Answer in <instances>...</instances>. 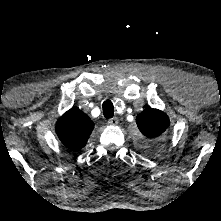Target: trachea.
Instances as JSON below:
<instances>
[{
    "label": "trachea",
    "instance_id": "1",
    "mask_svg": "<svg viewBox=\"0 0 221 221\" xmlns=\"http://www.w3.org/2000/svg\"><path fill=\"white\" fill-rule=\"evenodd\" d=\"M103 114L105 118H112L114 115V106L110 100L103 103Z\"/></svg>",
    "mask_w": 221,
    "mask_h": 221
}]
</instances>
